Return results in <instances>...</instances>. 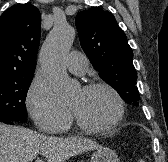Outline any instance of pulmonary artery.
Instances as JSON below:
<instances>
[{
  "label": "pulmonary artery",
  "mask_w": 168,
  "mask_h": 162,
  "mask_svg": "<svg viewBox=\"0 0 168 162\" xmlns=\"http://www.w3.org/2000/svg\"><path fill=\"white\" fill-rule=\"evenodd\" d=\"M65 63L68 70L77 75H83L87 71L89 65L86 55L78 51L69 53Z\"/></svg>",
  "instance_id": "1"
}]
</instances>
